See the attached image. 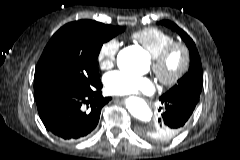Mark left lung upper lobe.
I'll list each match as a JSON object with an SVG mask.
<instances>
[{
  "label": "left lung upper lobe",
  "mask_w": 240,
  "mask_h": 160,
  "mask_svg": "<svg viewBox=\"0 0 240 160\" xmlns=\"http://www.w3.org/2000/svg\"><path fill=\"white\" fill-rule=\"evenodd\" d=\"M160 23L171 28L181 36L189 49L191 60L188 73H186L178 81V84H175L167 93L163 94L162 96L167 95L173 97H185L198 102L203 84V71L200 56L196 49L195 43L185 31L180 29L173 22L169 20H163Z\"/></svg>",
  "instance_id": "1"
}]
</instances>
